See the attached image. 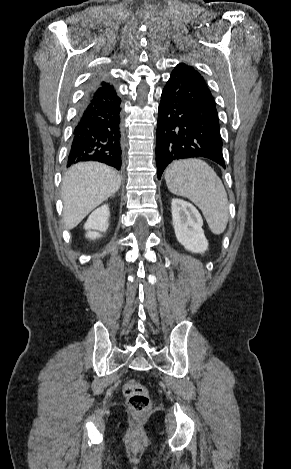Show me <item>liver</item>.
<instances>
[{"label": "liver", "instance_id": "liver-1", "mask_svg": "<svg viewBox=\"0 0 291 469\" xmlns=\"http://www.w3.org/2000/svg\"><path fill=\"white\" fill-rule=\"evenodd\" d=\"M120 185L119 174L104 164L85 162L72 166L62 182L66 228L76 227L92 210L115 194Z\"/></svg>", "mask_w": 291, "mask_h": 469}]
</instances>
